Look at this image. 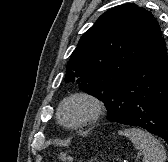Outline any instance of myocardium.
Returning a JSON list of instances; mask_svg holds the SVG:
<instances>
[{
    "label": "myocardium",
    "mask_w": 168,
    "mask_h": 162,
    "mask_svg": "<svg viewBox=\"0 0 168 162\" xmlns=\"http://www.w3.org/2000/svg\"><path fill=\"white\" fill-rule=\"evenodd\" d=\"M77 106L82 109V115L76 121L66 120L64 113L67 108ZM103 103L96 96L86 93L77 92L65 97L57 107V119L61 126L76 130L83 128L96 121L103 112Z\"/></svg>",
    "instance_id": "myocardium-1"
}]
</instances>
